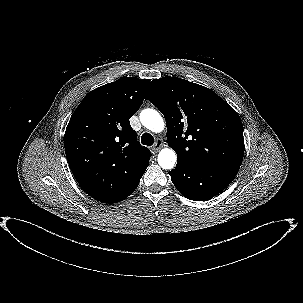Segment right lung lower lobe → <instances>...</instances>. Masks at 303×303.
Returning a JSON list of instances; mask_svg holds the SVG:
<instances>
[{"instance_id":"98d812e1","label":"right lung lower lobe","mask_w":303,"mask_h":303,"mask_svg":"<svg viewBox=\"0 0 303 303\" xmlns=\"http://www.w3.org/2000/svg\"><path fill=\"white\" fill-rule=\"evenodd\" d=\"M140 178L132 186H130L128 189H126L124 192H122L120 195L116 196L113 199H110L109 201H107L105 203L112 204V203H116V202H120V201L124 200L126 197H128L136 189V187L139 184Z\"/></svg>"}]
</instances>
